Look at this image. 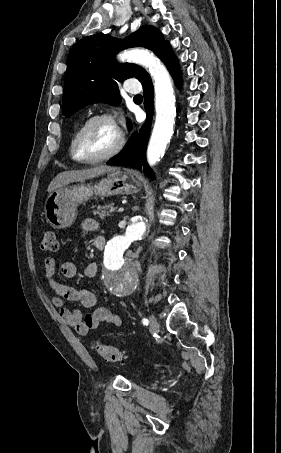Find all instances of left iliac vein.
<instances>
[{
    "mask_svg": "<svg viewBox=\"0 0 281 453\" xmlns=\"http://www.w3.org/2000/svg\"><path fill=\"white\" fill-rule=\"evenodd\" d=\"M156 320H157L156 317H154V316L150 317L149 326H150L151 330L153 331L151 334H156L155 332L158 330V327H157L158 323Z\"/></svg>",
    "mask_w": 281,
    "mask_h": 453,
    "instance_id": "1",
    "label": "left iliac vein"
}]
</instances>
